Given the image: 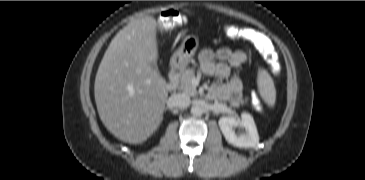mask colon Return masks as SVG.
Segmentation results:
<instances>
[{
    "label": "colon",
    "mask_w": 365,
    "mask_h": 180,
    "mask_svg": "<svg viewBox=\"0 0 365 180\" xmlns=\"http://www.w3.org/2000/svg\"><path fill=\"white\" fill-rule=\"evenodd\" d=\"M185 23V16L183 13L169 9L161 14V19L158 23V28L161 31H171L181 27ZM232 36L241 40H250L253 36V32L247 28H239L232 30ZM271 64L273 65V57L270 54L266 55ZM275 71H278V67L275 66Z\"/></svg>",
    "instance_id": "obj_1"
}]
</instances>
